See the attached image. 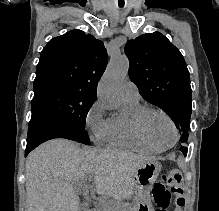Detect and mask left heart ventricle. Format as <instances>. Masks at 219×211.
Here are the masks:
<instances>
[{"instance_id": "left-heart-ventricle-1", "label": "left heart ventricle", "mask_w": 219, "mask_h": 211, "mask_svg": "<svg viewBox=\"0 0 219 211\" xmlns=\"http://www.w3.org/2000/svg\"><path fill=\"white\" fill-rule=\"evenodd\" d=\"M147 130L152 140L161 148L168 147L174 142L172 126L162 115H151L147 121Z\"/></svg>"}]
</instances>
